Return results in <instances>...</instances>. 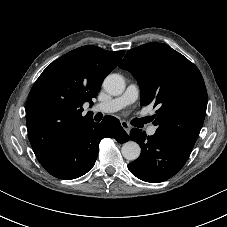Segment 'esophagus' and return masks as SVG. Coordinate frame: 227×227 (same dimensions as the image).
Listing matches in <instances>:
<instances>
[{
	"label": "esophagus",
	"instance_id": "esophagus-1",
	"mask_svg": "<svg viewBox=\"0 0 227 227\" xmlns=\"http://www.w3.org/2000/svg\"><path fill=\"white\" fill-rule=\"evenodd\" d=\"M121 126L128 134L130 133L131 126L126 121H121Z\"/></svg>",
	"mask_w": 227,
	"mask_h": 227
}]
</instances>
